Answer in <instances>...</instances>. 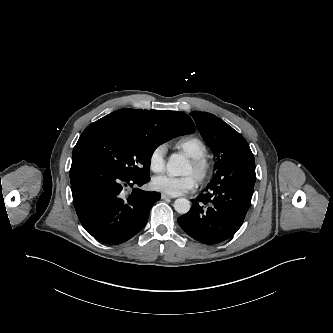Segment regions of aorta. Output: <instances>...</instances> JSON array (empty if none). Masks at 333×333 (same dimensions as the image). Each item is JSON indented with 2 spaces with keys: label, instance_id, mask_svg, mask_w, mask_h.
<instances>
[{
  "label": "aorta",
  "instance_id": "762f6f07",
  "mask_svg": "<svg viewBox=\"0 0 333 333\" xmlns=\"http://www.w3.org/2000/svg\"><path fill=\"white\" fill-rule=\"evenodd\" d=\"M187 167L185 158L180 154H172L166 165L167 172L171 176H183ZM190 207V201L185 198H178L174 202V209L180 214L187 213Z\"/></svg>",
  "mask_w": 333,
  "mask_h": 333
}]
</instances>
